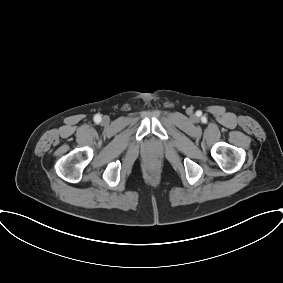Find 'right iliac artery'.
I'll return each instance as SVG.
<instances>
[{
    "instance_id": "1",
    "label": "right iliac artery",
    "mask_w": 283,
    "mask_h": 283,
    "mask_svg": "<svg viewBox=\"0 0 283 283\" xmlns=\"http://www.w3.org/2000/svg\"><path fill=\"white\" fill-rule=\"evenodd\" d=\"M94 121H95L96 123H99V122L101 121V116H100V115H95V116H94Z\"/></svg>"
}]
</instances>
